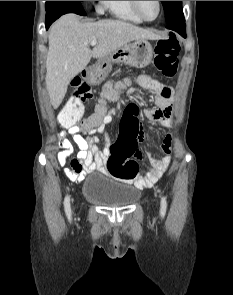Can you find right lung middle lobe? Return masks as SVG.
<instances>
[{"instance_id":"dd1d6c3e","label":"right lung middle lobe","mask_w":233,"mask_h":295,"mask_svg":"<svg viewBox=\"0 0 233 295\" xmlns=\"http://www.w3.org/2000/svg\"><path fill=\"white\" fill-rule=\"evenodd\" d=\"M83 2V1H46V9L56 8L66 3Z\"/></svg>"}]
</instances>
